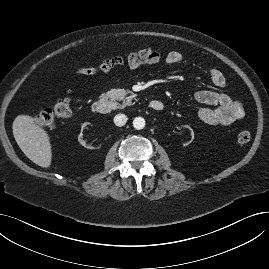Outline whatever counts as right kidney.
Wrapping results in <instances>:
<instances>
[{
  "instance_id": "right-kidney-1",
  "label": "right kidney",
  "mask_w": 269,
  "mask_h": 269,
  "mask_svg": "<svg viewBox=\"0 0 269 269\" xmlns=\"http://www.w3.org/2000/svg\"><path fill=\"white\" fill-rule=\"evenodd\" d=\"M90 123L85 122L81 124V133L78 136L79 142L85 147L89 149H102L103 148V143L102 142H90V141H85L83 140V134L82 131L88 126Z\"/></svg>"
}]
</instances>
